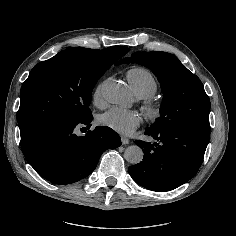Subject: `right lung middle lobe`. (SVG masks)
<instances>
[{
	"label": "right lung middle lobe",
	"mask_w": 236,
	"mask_h": 236,
	"mask_svg": "<svg viewBox=\"0 0 236 236\" xmlns=\"http://www.w3.org/2000/svg\"><path fill=\"white\" fill-rule=\"evenodd\" d=\"M117 60L103 50L71 47L38 63L20 92L21 137L49 122L79 123L89 118L92 90Z\"/></svg>",
	"instance_id": "1"
}]
</instances>
